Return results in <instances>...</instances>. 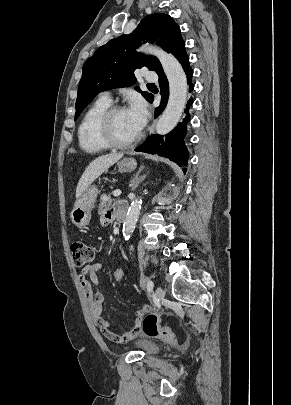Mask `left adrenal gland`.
Masks as SVG:
<instances>
[{
	"instance_id": "obj_1",
	"label": "left adrenal gland",
	"mask_w": 291,
	"mask_h": 405,
	"mask_svg": "<svg viewBox=\"0 0 291 405\" xmlns=\"http://www.w3.org/2000/svg\"><path fill=\"white\" fill-rule=\"evenodd\" d=\"M143 169L144 167L141 166L137 171V173L134 175V178L131 180L130 186L132 191H134L139 186V184L146 178V175L139 176Z\"/></svg>"
}]
</instances>
